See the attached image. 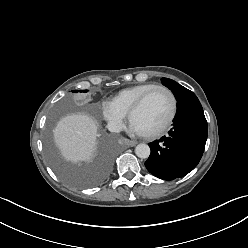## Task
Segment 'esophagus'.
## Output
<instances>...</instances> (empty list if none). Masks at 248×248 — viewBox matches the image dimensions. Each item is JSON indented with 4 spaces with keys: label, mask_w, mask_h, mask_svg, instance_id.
Segmentation results:
<instances>
[{
    "label": "esophagus",
    "mask_w": 248,
    "mask_h": 248,
    "mask_svg": "<svg viewBox=\"0 0 248 248\" xmlns=\"http://www.w3.org/2000/svg\"><path fill=\"white\" fill-rule=\"evenodd\" d=\"M124 143L128 146V147H133L137 144L136 141L133 140H129V139H124Z\"/></svg>",
    "instance_id": "obj_1"
}]
</instances>
